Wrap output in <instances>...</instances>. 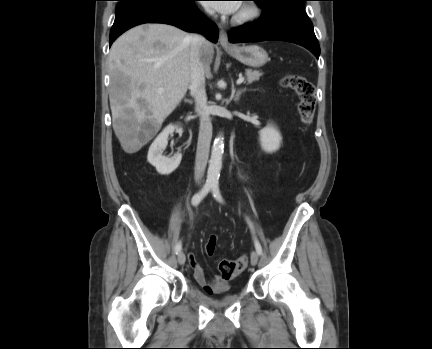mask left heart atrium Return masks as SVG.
Listing matches in <instances>:
<instances>
[{
    "instance_id": "39dd6f15",
    "label": "left heart atrium",
    "mask_w": 432,
    "mask_h": 349,
    "mask_svg": "<svg viewBox=\"0 0 432 349\" xmlns=\"http://www.w3.org/2000/svg\"><path fill=\"white\" fill-rule=\"evenodd\" d=\"M205 5L223 14L236 13L240 8V2L238 1L214 2L206 3Z\"/></svg>"
}]
</instances>
